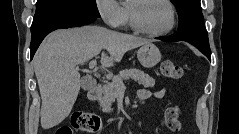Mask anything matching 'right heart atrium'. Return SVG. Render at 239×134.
<instances>
[{
  "label": "right heart atrium",
  "mask_w": 239,
  "mask_h": 134,
  "mask_svg": "<svg viewBox=\"0 0 239 134\" xmlns=\"http://www.w3.org/2000/svg\"><path fill=\"white\" fill-rule=\"evenodd\" d=\"M96 9L104 23L112 28L124 22V9L116 0H97Z\"/></svg>",
  "instance_id": "obj_1"
}]
</instances>
